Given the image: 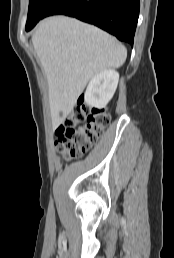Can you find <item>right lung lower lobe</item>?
<instances>
[{
	"mask_svg": "<svg viewBox=\"0 0 174 258\" xmlns=\"http://www.w3.org/2000/svg\"><path fill=\"white\" fill-rule=\"evenodd\" d=\"M140 0H56L44 16L67 15L94 24L133 45ZM44 17V18H45Z\"/></svg>",
	"mask_w": 174,
	"mask_h": 258,
	"instance_id": "98d812e1",
	"label": "right lung lower lobe"
}]
</instances>
